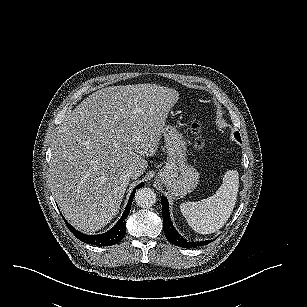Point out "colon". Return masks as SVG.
Returning <instances> with one entry per match:
<instances>
[{
  "mask_svg": "<svg viewBox=\"0 0 307 307\" xmlns=\"http://www.w3.org/2000/svg\"><path fill=\"white\" fill-rule=\"evenodd\" d=\"M192 132L195 134V146L198 149H202L206 146V139L203 136V124L195 121L191 124Z\"/></svg>",
  "mask_w": 307,
  "mask_h": 307,
  "instance_id": "obj_1",
  "label": "colon"
}]
</instances>
